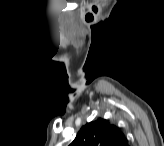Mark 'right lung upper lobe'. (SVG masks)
Instances as JSON below:
<instances>
[{"mask_svg": "<svg viewBox=\"0 0 164 146\" xmlns=\"http://www.w3.org/2000/svg\"><path fill=\"white\" fill-rule=\"evenodd\" d=\"M70 146H128L124 134L104 119L83 126Z\"/></svg>", "mask_w": 164, "mask_h": 146, "instance_id": "cb5924a9", "label": "right lung upper lobe"}]
</instances>
